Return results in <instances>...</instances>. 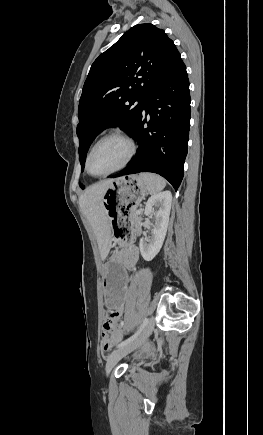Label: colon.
<instances>
[{
    "label": "colon",
    "mask_w": 263,
    "mask_h": 435,
    "mask_svg": "<svg viewBox=\"0 0 263 435\" xmlns=\"http://www.w3.org/2000/svg\"><path fill=\"white\" fill-rule=\"evenodd\" d=\"M119 325H118V328L119 329H130L128 326L130 325V324H126L124 321H119V323H118ZM132 325V324H131ZM132 329V328H131ZM127 335L129 334V335H132L134 332L132 331V330H127L126 332H125ZM104 334L105 333H103V336H104ZM103 336H102V341H103ZM115 341L117 342V340L115 339ZM118 349V348H117Z\"/></svg>",
    "instance_id": "obj_1"
}]
</instances>
